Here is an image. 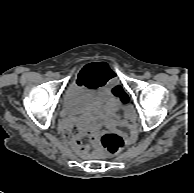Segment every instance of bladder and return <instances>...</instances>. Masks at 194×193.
<instances>
[{"label":"bladder","mask_w":194,"mask_h":193,"mask_svg":"<svg viewBox=\"0 0 194 193\" xmlns=\"http://www.w3.org/2000/svg\"><path fill=\"white\" fill-rule=\"evenodd\" d=\"M87 97V89L84 84H77L71 88L70 92L66 96L65 101H69L73 104H79L83 102Z\"/></svg>","instance_id":"1"}]
</instances>
